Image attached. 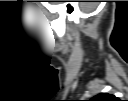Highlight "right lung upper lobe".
I'll list each match as a JSON object with an SVG mask.
<instances>
[{"label":"right lung upper lobe","instance_id":"obj_1","mask_svg":"<svg viewBox=\"0 0 128 101\" xmlns=\"http://www.w3.org/2000/svg\"><path fill=\"white\" fill-rule=\"evenodd\" d=\"M96 101H116V97L114 95H110L107 93H101L94 97Z\"/></svg>","mask_w":128,"mask_h":101}]
</instances>
